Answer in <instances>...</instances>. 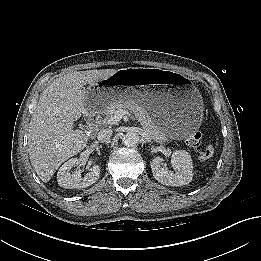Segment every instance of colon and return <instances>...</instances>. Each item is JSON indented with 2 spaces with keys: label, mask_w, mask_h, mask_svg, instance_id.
<instances>
[{
  "label": "colon",
  "mask_w": 261,
  "mask_h": 261,
  "mask_svg": "<svg viewBox=\"0 0 261 261\" xmlns=\"http://www.w3.org/2000/svg\"><path fill=\"white\" fill-rule=\"evenodd\" d=\"M187 142L189 146L195 150L196 157L199 160H208L214 155V147L212 145H207L203 149L200 148L202 143V136L200 132L192 133Z\"/></svg>",
  "instance_id": "colon-1"
}]
</instances>
